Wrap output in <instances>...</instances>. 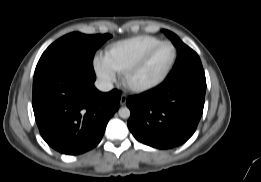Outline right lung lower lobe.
Here are the masks:
<instances>
[{"label":"right lung lower lobe","instance_id":"obj_1","mask_svg":"<svg viewBox=\"0 0 261 182\" xmlns=\"http://www.w3.org/2000/svg\"><path fill=\"white\" fill-rule=\"evenodd\" d=\"M93 67L73 57L35 70L33 110L41 136L60 153L76 155L94 148L118 110L120 92L98 91Z\"/></svg>","mask_w":261,"mask_h":182}]
</instances>
